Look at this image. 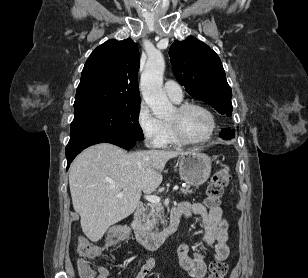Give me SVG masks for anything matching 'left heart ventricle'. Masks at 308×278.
<instances>
[{
    "label": "left heart ventricle",
    "instance_id": "1",
    "mask_svg": "<svg viewBox=\"0 0 308 278\" xmlns=\"http://www.w3.org/2000/svg\"><path fill=\"white\" fill-rule=\"evenodd\" d=\"M167 121L177 123L182 131L192 139H202L210 131L211 123L208 115L197 108H190L183 113H178L174 108Z\"/></svg>",
    "mask_w": 308,
    "mask_h": 278
}]
</instances>
